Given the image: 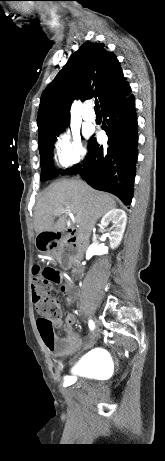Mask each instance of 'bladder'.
Returning <instances> with one entry per match:
<instances>
[{
  "label": "bladder",
  "instance_id": "31cf9c89",
  "mask_svg": "<svg viewBox=\"0 0 165 461\" xmlns=\"http://www.w3.org/2000/svg\"><path fill=\"white\" fill-rule=\"evenodd\" d=\"M103 357L104 354L82 357L74 367V373L80 377L99 376L106 366Z\"/></svg>",
  "mask_w": 165,
  "mask_h": 461
}]
</instances>
